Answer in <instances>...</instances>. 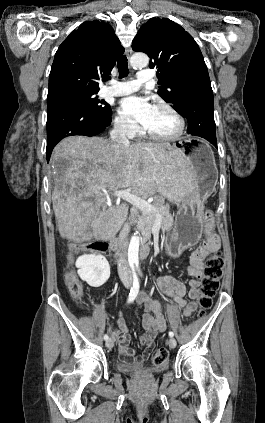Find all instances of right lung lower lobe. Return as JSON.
I'll list each match as a JSON object with an SVG mask.
<instances>
[{
    "label": "right lung lower lobe",
    "instance_id": "right-lung-lower-lobe-1",
    "mask_svg": "<svg viewBox=\"0 0 265 423\" xmlns=\"http://www.w3.org/2000/svg\"><path fill=\"white\" fill-rule=\"evenodd\" d=\"M110 124L111 115L98 114L78 101L58 99L48 103L47 161L53 148L63 138L74 135L95 136Z\"/></svg>",
    "mask_w": 265,
    "mask_h": 423
}]
</instances>
